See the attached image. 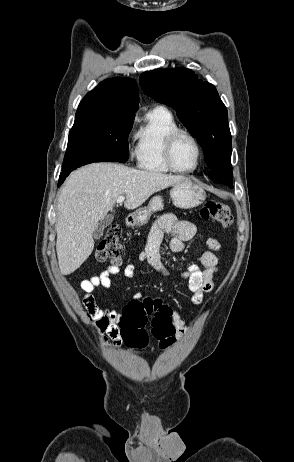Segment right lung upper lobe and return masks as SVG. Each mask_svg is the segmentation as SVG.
Segmentation results:
<instances>
[{
	"instance_id": "obj_1",
	"label": "right lung upper lobe",
	"mask_w": 294,
	"mask_h": 462,
	"mask_svg": "<svg viewBox=\"0 0 294 462\" xmlns=\"http://www.w3.org/2000/svg\"><path fill=\"white\" fill-rule=\"evenodd\" d=\"M138 87L134 79L115 77L104 80L80 102L77 112L109 111L134 114L138 109Z\"/></svg>"
}]
</instances>
